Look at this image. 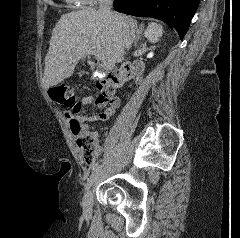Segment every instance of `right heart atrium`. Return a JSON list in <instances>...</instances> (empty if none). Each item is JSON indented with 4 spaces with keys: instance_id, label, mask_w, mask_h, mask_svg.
<instances>
[{
    "instance_id": "d8ad5b80",
    "label": "right heart atrium",
    "mask_w": 240,
    "mask_h": 238,
    "mask_svg": "<svg viewBox=\"0 0 240 238\" xmlns=\"http://www.w3.org/2000/svg\"><path fill=\"white\" fill-rule=\"evenodd\" d=\"M78 1L84 5H93L101 0H78Z\"/></svg>"
}]
</instances>
